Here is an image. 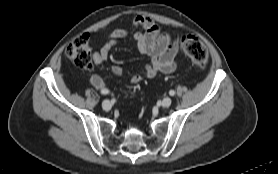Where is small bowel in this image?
Returning <instances> with one entry per match:
<instances>
[{
	"label": "small bowel",
	"instance_id": "small-bowel-1",
	"mask_svg": "<svg viewBox=\"0 0 278 174\" xmlns=\"http://www.w3.org/2000/svg\"><path fill=\"white\" fill-rule=\"evenodd\" d=\"M133 26L141 30L131 35L125 29L112 30L108 34L105 44L93 54L94 64H102L108 59L111 49L120 40L130 37L137 44L139 52L150 58V63L144 66L142 73L133 74L130 77L132 84H138L143 77L153 78L159 73L174 72L177 68L176 57L179 52V43L172 39L168 32L162 31L150 17L137 16L133 20ZM112 72L120 75L123 73V69L114 65ZM89 81L96 89L108 90L105 80L97 74L91 75Z\"/></svg>",
	"mask_w": 278,
	"mask_h": 174
}]
</instances>
